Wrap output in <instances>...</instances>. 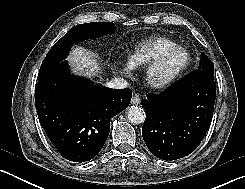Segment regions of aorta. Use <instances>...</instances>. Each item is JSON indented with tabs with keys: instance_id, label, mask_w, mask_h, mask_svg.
Returning <instances> with one entry per match:
<instances>
[{
	"instance_id": "obj_1",
	"label": "aorta",
	"mask_w": 245,
	"mask_h": 189,
	"mask_svg": "<svg viewBox=\"0 0 245 189\" xmlns=\"http://www.w3.org/2000/svg\"><path fill=\"white\" fill-rule=\"evenodd\" d=\"M127 117L133 124H141L145 121V111L138 106H130L127 109Z\"/></svg>"
}]
</instances>
